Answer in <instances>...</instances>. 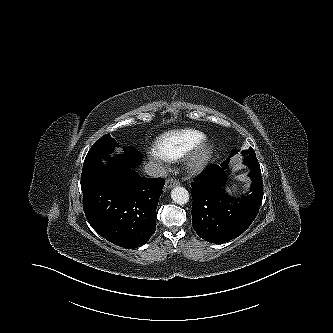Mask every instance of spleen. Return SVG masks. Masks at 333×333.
<instances>
[{"mask_svg":"<svg viewBox=\"0 0 333 333\" xmlns=\"http://www.w3.org/2000/svg\"><path fill=\"white\" fill-rule=\"evenodd\" d=\"M232 189H233V191H236L237 190V185L234 184ZM228 190L230 191V189H228Z\"/></svg>","mask_w":333,"mask_h":333,"instance_id":"spleen-1","label":"spleen"}]
</instances>
